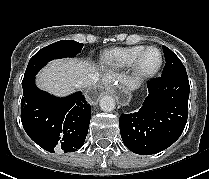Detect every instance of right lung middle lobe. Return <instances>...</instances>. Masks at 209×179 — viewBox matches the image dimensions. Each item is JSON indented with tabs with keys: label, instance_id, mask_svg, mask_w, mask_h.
Wrapping results in <instances>:
<instances>
[{
	"label": "right lung middle lobe",
	"instance_id": "obj_1",
	"mask_svg": "<svg viewBox=\"0 0 209 179\" xmlns=\"http://www.w3.org/2000/svg\"><path fill=\"white\" fill-rule=\"evenodd\" d=\"M83 45L73 40H61L44 47L30 59L22 85L32 79L49 61L64 57H75L81 52Z\"/></svg>",
	"mask_w": 209,
	"mask_h": 179
}]
</instances>
